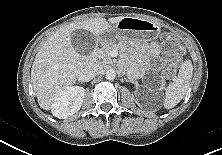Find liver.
<instances>
[{"label": "liver", "instance_id": "6515ba94", "mask_svg": "<svg viewBox=\"0 0 222 155\" xmlns=\"http://www.w3.org/2000/svg\"><path fill=\"white\" fill-rule=\"evenodd\" d=\"M124 17L94 18L71 23L53 33L38 50L31 68V82L38 103L45 110L51 109L55 97L73 85L80 77L86 62L74 49L71 33L77 29L99 36L111 24L119 23Z\"/></svg>", "mask_w": 222, "mask_h": 155}]
</instances>
